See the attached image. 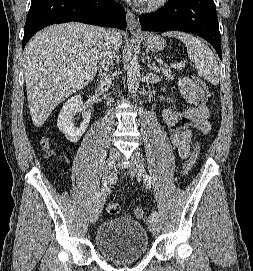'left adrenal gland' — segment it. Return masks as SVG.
<instances>
[{
	"instance_id": "a2214340",
	"label": "left adrenal gland",
	"mask_w": 253,
	"mask_h": 271,
	"mask_svg": "<svg viewBox=\"0 0 253 271\" xmlns=\"http://www.w3.org/2000/svg\"><path fill=\"white\" fill-rule=\"evenodd\" d=\"M147 66L150 70H152L154 73H159L160 69L156 66L155 62L152 63L151 57L147 55Z\"/></svg>"
}]
</instances>
